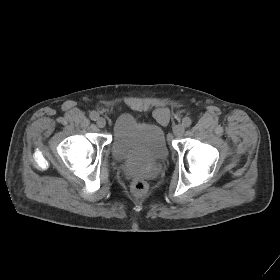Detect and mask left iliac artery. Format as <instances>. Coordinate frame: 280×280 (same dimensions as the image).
Listing matches in <instances>:
<instances>
[{
    "label": "left iliac artery",
    "instance_id": "44dca946",
    "mask_svg": "<svg viewBox=\"0 0 280 280\" xmlns=\"http://www.w3.org/2000/svg\"><path fill=\"white\" fill-rule=\"evenodd\" d=\"M191 124H192V120L189 117L183 118L182 125L184 127H190Z\"/></svg>",
    "mask_w": 280,
    "mask_h": 280
}]
</instances>
